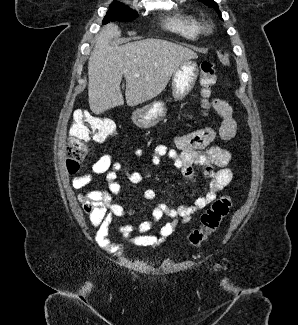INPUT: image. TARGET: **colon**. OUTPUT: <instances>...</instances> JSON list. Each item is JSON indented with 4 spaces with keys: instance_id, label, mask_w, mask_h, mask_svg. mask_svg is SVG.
<instances>
[{
    "instance_id": "5ec220e1",
    "label": "colon",
    "mask_w": 298,
    "mask_h": 325,
    "mask_svg": "<svg viewBox=\"0 0 298 325\" xmlns=\"http://www.w3.org/2000/svg\"><path fill=\"white\" fill-rule=\"evenodd\" d=\"M218 75L214 65L204 61L200 64V83L204 96H209ZM116 131L115 124L108 118L92 115L87 111L74 114L70 124L67 148L66 167L70 174L77 173L82 168L91 149V143H101ZM232 208L228 196L216 199L200 218L201 227L189 235L190 243L198 247L207 241L219 228Z\"/></svg>"
}]
</instances>
